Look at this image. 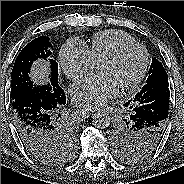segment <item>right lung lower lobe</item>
<instances>
[{
    "label": "right lung lower lobe",
    "mask_w": 184,
    "mask_h": 184,
    "mask_svg": "<svg viewBox=\"0 0 184 184\" xmlns=\"http://www.w3.org/2000/svg\"><path fill=\"white\" fill-rule=\"evenodd\" d=\"M65 103L61 87L47 98L20 96L11 101L16 129L27 148L47 144L54 138L55 124L66 122L61 113Z\"/></svg>",
    "instance_id": "obj_1"
}]
</instances>
